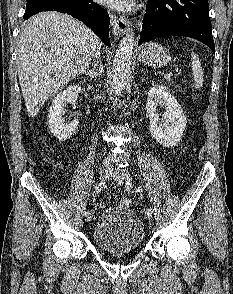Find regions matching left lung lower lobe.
I'll list each match as a JSON object with an SVG mask.
<instances>
[{
	"label": "left lung lower lobe",
	"instance_id": "left-lung-lower-lobe-1",
	"mask_svg": "<svg viewBox=\"0 0 233 294\" xmlns=\"http://www.w3.org/2000/svg\"><path fill=\"white\" fill-rule=\"evenodd\" d=\"M207 0H149L138 44L176 35L197 39L214 53Z\"/></svg>",
	"mask_w": 233,
	"mask_h": 294
}]
</instances>
